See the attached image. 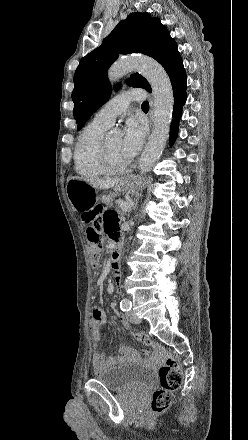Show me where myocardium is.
Returning <instances> with one entry per match:
<instances>
[{"label": "myocardium", "instance_id": "myocardium-1", "mask_svg": "<svg viewBox=\"0 0 248 440\" xmlns=\"http://www.w3.org/2000/svg\"><path fill=\"white\" fill-rule=\"evenodd\" d=\"M100 161L107 173L118 174L127 171L130 167V163L128 162L125 165L118 166L116 165L110 156V152L107 145V139L103 138L100 146Z\"/></svg>", "mask_w": 248, "mask_h": 440}]
</instances>
